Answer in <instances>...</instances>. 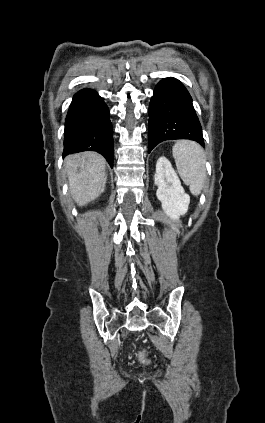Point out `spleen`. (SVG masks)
<instances>
[{
	"mask_svg": "<svg viewBox=\"0 0 265 423\" xmlns=\"http://www.w3.org/2000/svg\"><path fill=\"white\" fill-rule=\"evenodd\" d=\"M173 157L183 182L190 186L193 195H199L206 181L202 147L194 141H178L173 146Z\"/></svg>",
	"mask_w": 265,
	"mask_h": 423,
	"instance_id": "3e777b00",
	"label": "spleen"
}]
</instances>
